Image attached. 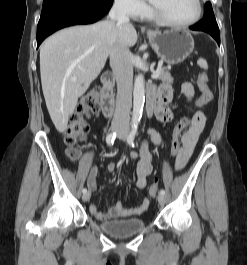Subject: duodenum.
<instances>
[{"instance_id": "410a0bca", "label": "duodenum", "mask_w": 247, "mask_h": 265, "mask_svg": "<svg viewBox=\"0 0 247 265\" xmlns=\"http://www.w3.org/2000/svg\"><path fill=\"white\" fill-rule=\"evenodd\" d=\"M101 88H102V97H101V108L105 116H110L114 110V76L110 72H106L102 75L101 78ZM149 100V115L154 114V107L157 100L156 92H148Z\"/></svg>"}]
</instances>
